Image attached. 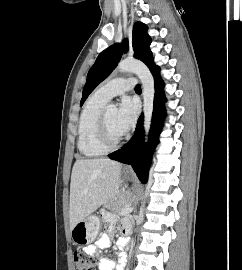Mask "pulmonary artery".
<instances>
[{
	"mask_svg": "<svg viewBox=\"0 0 242 270\" xmlns=\"http://www.w3.org/2000/svg\"><path fill=\"white\" fill-rule=\"evenodd\" d=\"M135 87V79L134 78H116L109 80L101 87H99L94 95L108 102L115 96L122 95L126 91L131 90Z\"/></svg>",
	"mask_w": 242,
	"mask_h": 270,
	"instance_id": "obj_1",
	"label": "pulmonary artery"
}]
</instances>
